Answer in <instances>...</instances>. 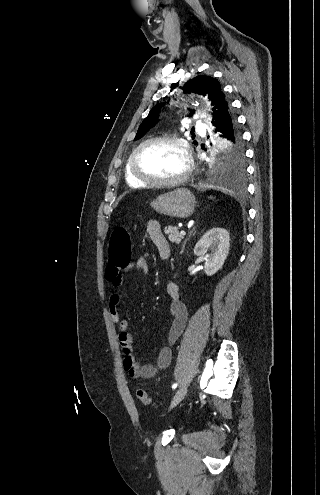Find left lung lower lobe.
Masks as SVG:
<instances>
[{"instance_id":"1","label":"left lung lower lobe","mask_w":320,"mask_h":495,"mask_svg":"<svg viewBox=\"0 0 320 495\" xmlns=\"http://www.w3.org/2000/svg\"><path fill=\"white\" fill-rule=\"evenodd\" d=\"M236 125V118L230 109L223 112L213 123L214 132L219 140L231 137Z\"/></svg>"}]
</instances>
